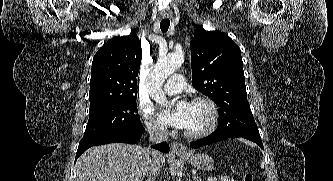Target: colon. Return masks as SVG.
I'll use <instances>...</instances> for the list:
<instances>
[{
  "instance_id": "5ec220e1",
  "label": "colon",
  "mask_w": 333,
  "mask_h": 181,
  "mask_svg": "<svg viewBox=\"0 0 333 181\" xmlns=\"http://www.w3.org/2000/svg\"><path fill=\"white\" fill-rule=\"evenodd\" d=\"M242 181H254V175L251 172L246 171L243 175Z\"/></svg>"
}]
</instances>
